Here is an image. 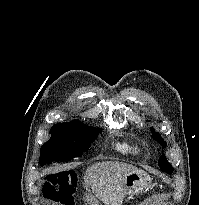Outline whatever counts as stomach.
Listing matches in <instances>:
<instances>
[{
  "instance_id": "stomach-1",
  "label": "stomach",
  "mask_w": 199,
  "mask_h": 205,
  "mask_svg": "<svg viewBox=\"0 0 199 205\" xmlns=\"http://www.w3.org/2000/svg\"><path fill=\"white\" fill-rule=\"evenodd\" d=\"M150 182V176L143 171L130 173L124 180V191L128 195L138 194L148 188Z\"/></svg>"
}]
</instances>
